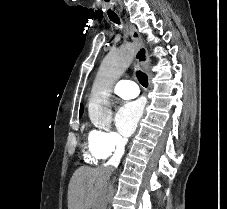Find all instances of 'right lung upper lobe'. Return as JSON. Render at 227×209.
I'll use <instances>...</instances> for the list:
<instances>
[{"instance_id":"cb5924a9","label":"right lung upper lobe","mask_w":227,"mask_h":209,"mask_svg":"<svg viewBox=\"0 0 227 209\" xmlns=\"http://www.w3.org/2000/svg\"><path fill=\"white\" fill-rule=\"evenodd\" d=\"M82 113H83V105H81V108H80V114H79V116H81V115H82Z\"/></svg>"}]
</instances>
